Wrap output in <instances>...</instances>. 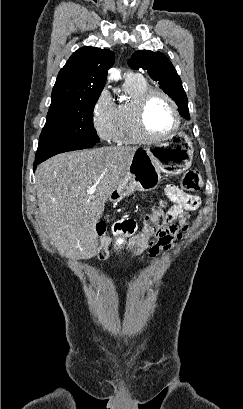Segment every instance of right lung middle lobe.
Listing matches in <instances>:
<instances>
[{"instance_id":"dd1d6c3e","label":"right lung middle lobe","mask_w":243,"mask_h":409,"mask_svg":"<svg viewBox=\"0 0 243 409\" xmlns=\"http://www.w3.org/2000/svg\"><path fill=\"white\" fill-rule=\"evenodd\" d=\"M96 102L51 103L39 143L99 142L93 126Z\"/></svg>"}]
</instances>
